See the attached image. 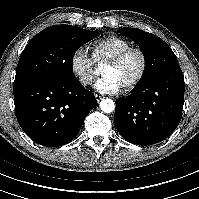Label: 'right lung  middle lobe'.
<instances>
[{"label":"right lung middle lobe","instance_id":"1","mask_svg":"<svg viewBox=\"0 0 199 199\" xmlns=\"http://www.w3.org/2000/svg\"><path fill=\"white\" fill-rule=\"evenodd\" d=\"M97 36L71 25H54L34 36L23 50L15 82L31 78L72 80L74 53Z\"/></svg>","mask_w":199,"mask_h":199}]
</instances>
